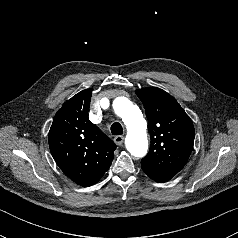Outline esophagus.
<instances>
[{
  "instance_id": "34e87169",
  "label": "esophagus",
  "mask_w": 238,
  "mask_h": 238,
  "mask_svg": "<svg viewBox=\"0 0 238 238\" xmlns=\"http://www.w3.org/2000/svg\"><path fill=\"white\" fill-rule=\"evenodd\" d=\"M114 142L116 145L121 146L124 142V137L122 135L115 136Z\"/></svg>"
}]
</instances>
